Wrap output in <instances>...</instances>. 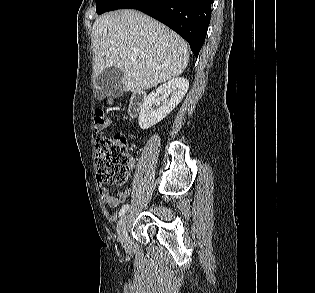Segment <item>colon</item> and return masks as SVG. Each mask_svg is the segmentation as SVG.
I'll return each instance as SVG.
<instances>
[{
  "mask_svg": "<svg viewBox=\"0 0 315 293\" xmlns=\"http://www.w3.org/2000/svg\"><path fill=\"white\" fill-rule=\"evenodd\" d=\"M109 117L102 110H97L93 117L96 130L109 124ZM130 156L125 137H98L95 142V162L97 178L101 184L122 185L126 183L130 172Z\"/></svg>",
  "mask_w": 315,
  "mask_h": 293,
  "instance_id": "obj_1",
  "label": "colon"
}]
</instances>
